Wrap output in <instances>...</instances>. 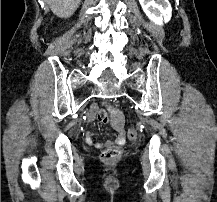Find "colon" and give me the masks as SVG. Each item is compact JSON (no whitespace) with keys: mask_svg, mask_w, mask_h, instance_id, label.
<instances>
[{"mask_svg":"<svg viewBox=\"0 0 217 202\" xmlns=\"http://www.w3.org/2000/svg\"><path fill=\"white\" fill-rule=\"evenodd\" d=\"M97 115V123H103L106 126L109 120L106 117V111H104V108H101V110L97 112ZM128 136L130 140H135L136 131L134 129H130L128 132ZM121 154L122 151L119 147L106 148L102 152V158L106 161H114L118 159Z\"/></svg>","mask_w":217,"mask_h":202,"instance_id":"5ec220e1","label":"colon"}]
</instances>
